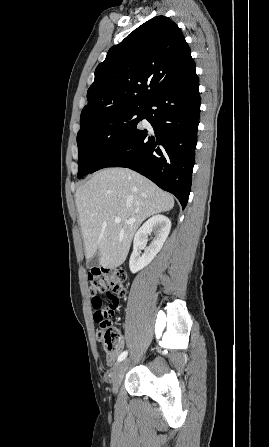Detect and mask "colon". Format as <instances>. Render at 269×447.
Here are the masks:
<instances>
[{
  "mask_svg": "<svg viewBox=\"0 0 269 447\" xmlns=\"http://www.w3.org/2000/svg\"><path fill=\"white\" fill-rule=\"evenodd\" d=\"M88 291L92 296L95 312L92 317L98 322L97 338L105 353L114 352L122 342V334L113 325V311L118 309L127 296V283L120 272L105 273L100 266H91L87 273ZM106 296L108 306L99 296Z\"/></svg>",
  "mask_w": 269,
  "mask_h": 447,
  "instance_id": "colon-1",
  "label": "colon"
}]
</instances>
